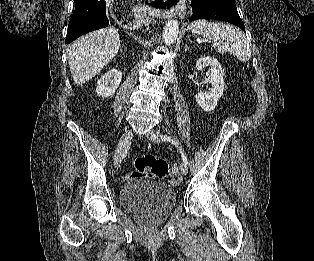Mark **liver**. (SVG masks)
Wrapping results in <instances>:
<instances>
[{"instance_id": "obj_1", "label": "liver", "mask_w": 314, "mask_h": 261, "mask_svg": "<svg viewBox=\"0 0 314 261\" xmlns=\"http://www.w3.org/2000/svg\"><path fill=\"white\" fill-rule=\"evenodd\" d=\"M120 37L114 28L91 32L74 41L69 50V67L76 84L95 77L117 54Z\"/></svg>"}]
</instances>
